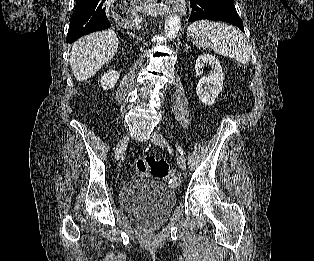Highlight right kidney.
Segmentation results:
<instances>
[{
	"label": "right kidney",
	"instance_id": "obj_1",
	"mask_svg": "<svg viewBox=\"0 0 314 261\" xmlns=\"http://www.w3.org/2000/svg\"><path fill=\"white\" fill-rule=\"evenodd\" d=\"M118 79H119L118 71L111 70L102 76L100 83L104 90H108L112 89L115 86Z\"/></svg>",
	"mask_w": 314,
	"mask_h": 261
}]
</instances>
